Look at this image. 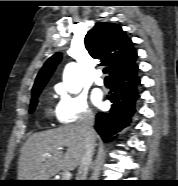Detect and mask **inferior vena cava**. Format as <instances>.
<instances>
[{
    "mask_svg": "<svg viewBox=\"0 0 178 186\" xmlns=\"http://www.w3.org/2000/svg\"><path fill=\"white\" fill-rule=\"evenodd\" d=\"M94 115L91 112L85 113L79 122L80 131L85 138V151L77 172V180H86L88 170L92 165V157L95 148V132L93 129Z\"/></svg>",
    "mask_w": 178,
    "mask_h": 186,
    "instance_id": "602c4592",
    "label": "inferior vena cava"
}]
</instances>
